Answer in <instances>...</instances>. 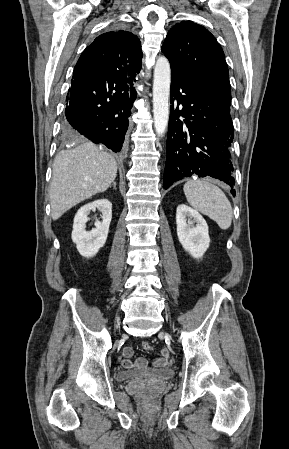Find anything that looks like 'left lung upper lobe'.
Returning <instances> with one entry per match:
<instances>
[{
  "label": "left lung upper lobe",
  "mask_w": 289,
  "mask_h": 449,
  "mask_svg": "<svg viewBox=\"0 0 289 449\" xmlns=\"http://www.w3.org/2000/svg\"><path fill=\"white\" fill-rule=\"evenodd\" d=\"M171 71L190 75L223 103L231 105V86L224 52L203 26L182 21L170 29L162 46Z\"/></svg>",
  "instance_id": "left-lung-upper-lobe-1"
}]
</instances>
